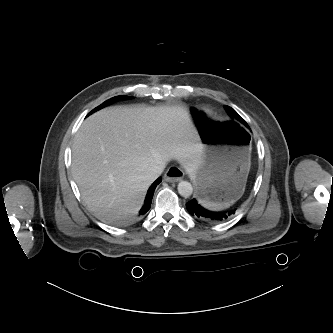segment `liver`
<instances>
[{"label":"liver","instance_id":"6515ba94","mask_svg":"<svg viewBox=\"0 0 333 333\" xmlns=\"http://www.w3.org/2000/svg\"><path fill=\"white\" fill-rule=\"evenodd\" d=\"M181 106L116 107L87 118L72 146V174L97 215L121 220L137 214L148 187V168L171 159L194 174L202 160Z\"/></svg>","mask_w":333,"mask_h":333}]
</instances>
